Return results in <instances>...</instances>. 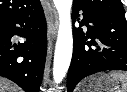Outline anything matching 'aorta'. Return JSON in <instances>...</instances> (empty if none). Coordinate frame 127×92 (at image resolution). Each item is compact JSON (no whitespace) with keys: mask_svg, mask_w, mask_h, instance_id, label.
<instances>
[{"mask_svg":"<svg viewBox=\"0 0 127 92\" xmlns=\"http://www.w3.org/2000/svg\"><path fill=\"white\" fill-rule=\"evenodd\" d=\"M59 15V29L53 63V79L59 84L65 77L72 58L73 36L71 26L72 0H54Z\"/></svg>","mask_w":127,"mask_h":92,"instance_id":"aorta-1","label":"aorta"}]
</instances>
